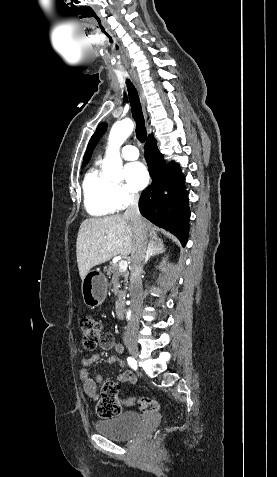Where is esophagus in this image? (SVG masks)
Returning a JSON list of instances; mask_svg holds the SVG:
<instances>
[{
    "mask_svg": "<svg viewBox=\"0 0 277 477\" xmlns=\"http://www.w3.org/2000/svg\"><path fill=\"white\" fill-rule=\"evenodd\" d=\"M132 78H133V80H134L136 89H137L138 94H139V98H140V102H141V105H142V109H143V113H144L145 119H147V113H146V98H145V94H144L142 85H141V83H140V81H139V78H138V76H137V74H136L135 72H132Z\"/></svg>",
    "mask_w": 277,
    "mask_h": 477,
    "instance_id": "esophagus-1",
    "label": "esophagus"
}]
</instances>
